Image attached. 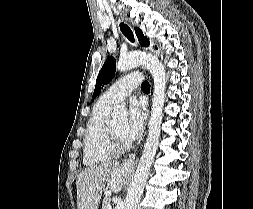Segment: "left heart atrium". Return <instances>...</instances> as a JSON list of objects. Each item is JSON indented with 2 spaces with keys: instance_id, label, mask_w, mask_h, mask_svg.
Wrapping results in <instances>:
<instances>
[{
  "instance_id": "obj_1",
  "label": "left heart atrium",
  "mask_w": 253,
  "mask_h": 209,
  "mask_svg": "<svg viewBox=\"0 0 253 209\" xmlns=\"http://www.w3.org/2000/svg\"><path fill=\"white\" fill-rule=\"evenodd\" d=\"M145 118V107L137 100L131 101L128 120L123 131V136L128 143L134 142L140 137L143 132Z\"/></svg>"
}]
</instances>
